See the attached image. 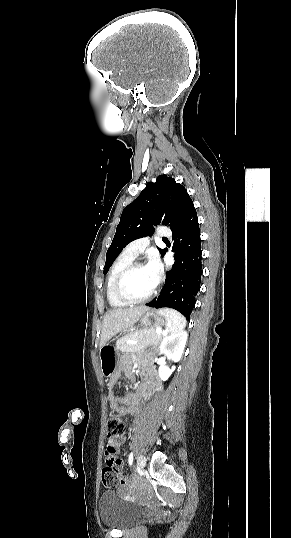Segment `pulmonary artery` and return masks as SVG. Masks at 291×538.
I'll return each instance as SVG.
<instances>
[{
  "mask_svg": "<svg viewBox=\"0 0 291 538\" xmlns=\"http://www.w3.org/2000/svg\"><path fill=\"white\" fill-rule=\"evenodd\" d=\"M157 236L161 238H168L171 236V231L165 227L159 228L157 231ZM149 243H150L149 238H146V237L140 238L129 243L126 246L124 251L131 257L136 258L137 256H139L141 253L144 252V250L147 248Z\"/></svg>",
  "mask_w": 291,
  "mask_h": 538,
  "instance_id": "pulmonary-artery-1",
  "label": "pulmonary artery"
}]
</instances>
